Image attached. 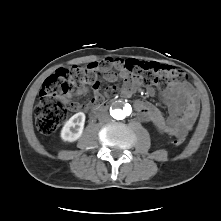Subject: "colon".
Wrapping results in <instances>:
<instances>
[{
    "instance_id": "5ec220e1",
    "label": "colon",
    "mask_w": 221,
    "mask_h": 221,
    "mask_svg": "<svg viewBox=\"0 0 221 221\" xmlns=\"http://www.w3.org/2000/svg\"><path fill=\"white\" fill-rule=\"evenodd\" d=\"M125 70L136 80L146 85L167 88L175 82L185 79L186 75L176 68L160 65L155 62H144L134 59L124 61ZM98 64L60 68L46 78L35 107L36 127L42 134L53 133L66 119L68 98L77 88L94 86L99 83ZM116 88L110 86L106 94L111 95ZM184 139L176 137L173 144L181 145Z\"/></svg>"
}]
</instances>
